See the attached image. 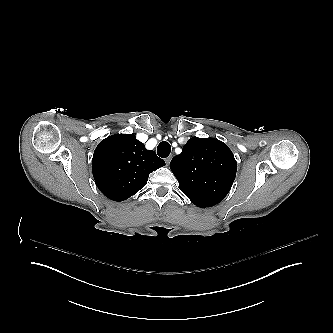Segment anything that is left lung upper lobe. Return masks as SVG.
<instances>
[{
  "instance_id": "1",
  "label": "left lung upper lobe",
  "mask_w": 333,
  "mask_h": 333,
  "mask_svg": "<svg viewBox=\"0 0 333 333\" xmlns=\"http://www.w3.org/2000/svg\"><path fill=\"white\" fill-rule=\"evenodd\" d=\"M180 190L196 206L221 202L231 189L237 162L228 146L214 138L192 137L170 162Z\"/></svg>"
}]
</instances>
